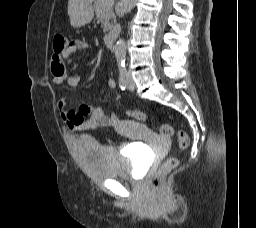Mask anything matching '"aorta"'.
Instances as JSON below:
<instances>
[{"instance_id": "aorta-1", "label": "aorta", "mask_w": 256, "mask_h": 228, "mask_svg": "<svg viewBox=\"0 0 256 228\" xmlns=\"http://www.w3.org/2000/svg\"><path fill=\"white\" fill-rule=\"evenodd\" d=\"M137 0H121L120 9L122 13H129L135 6ZM114 53L118 65H124L126 60V43L123 38H120L115 46Z\"/></svg>"}]
</instances>
